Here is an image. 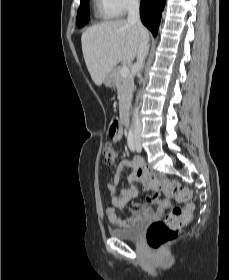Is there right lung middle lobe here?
Here are the masks:
<instances>
[{"label":"right lung middle lobe","instance_id":"dd1d6c3e","mask_svg":"<svg viewBox=\"0 0 229 280\" xmlns=\"http://www.w3.org/2000/svg\"><path fill=\"white\" fill-rule=\"evenodd\" d=\"M90 18L89 13V0H80V7L77 13V26L82 27L85 25Z\"/></svg>","mask_w":229,"mask_h":280}]
</instances>
